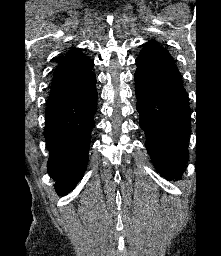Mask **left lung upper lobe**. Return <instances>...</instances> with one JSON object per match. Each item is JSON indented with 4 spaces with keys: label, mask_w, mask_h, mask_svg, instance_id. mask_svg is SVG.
Masks as SVG:
<instances>
[{
    "label": "left lung upper lobe",
    "mask_w": 221,
    "mask_h": 256,
    "mask_svg": "<svg viewBox=\"0 0 221 256\" xmlns=\"http://www.w3.org/2000/svg\"><path fill=\"white\" fill-rule=\"evenodd\" d=\"M139 70H177L169 52L155 41H149L136 59Z\"/></svg>",
    "instance_id": "1"
}]
</instances>
